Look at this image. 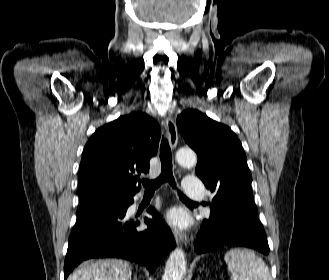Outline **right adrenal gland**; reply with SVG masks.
Returning a JSON list of instances; mask_svg holds the SVG:
<instances>
[{
    "mask_svg": "<svg viewBox=\"0 0 329 280\" xmlns=\"http://www.w3.org/2000/svg\"><path fill=\"white\" fill-rule=\"evenodd\" d=\"M134 280H138L136 276H134Z\"/></svg>",
    "mask_w": 329,
    "mask_h": 280,
    "instance_id": "2a0ac1e0",
    "label": "right adrenal gland"
}]
</instances>
